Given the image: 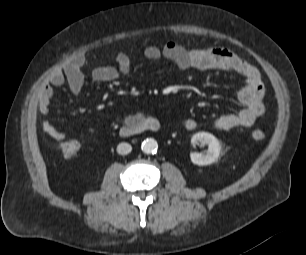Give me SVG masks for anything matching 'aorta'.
Masks as SVG:
<instances>
[{
	"mask_svg": "<svg viewBox=\"0 0 306 255\" xmlns=\"http://www.w3.org/2000/svg\"><path fill=\"white\" fill-rule=\"evenodd\" d=\"M158 144L154 139H146L142 142L141 149L145 154H153L157 151Z\"/></svg>",
	"mask_w": 306,
	"mask_h": 255,
	"instance_id": "obj_1",
	"label": "aorta"
}]
</instances>
